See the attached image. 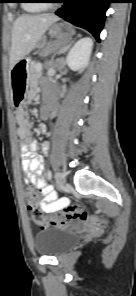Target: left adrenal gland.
Returning a JSON list of instances; mask_svg holds the SVG:
<instances>
[{"label":"left adrenal gland","mask_w":136,"mask_h":296,"mask_svg":"<svg viewBox=\"0 0 136 296\" xmlns=\"http://www.w3.org/2000/svg\"><path fill=\"white\" fill-rule=\"evenodd\" d=\"M80 36H81L80 34L77 35V37H80ZM72 43L73 41H71V38H69L68 43L61 47V49L59 50V53H65L70 48ZM58 62L60 63L59 69L64 67V65L66 64V62L63 59H59Z\"/></svg>","instance_id":"obj_1"}]
</instances>
